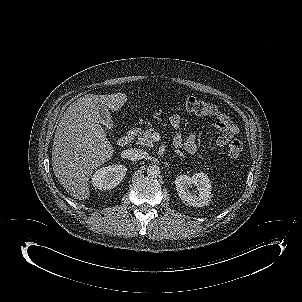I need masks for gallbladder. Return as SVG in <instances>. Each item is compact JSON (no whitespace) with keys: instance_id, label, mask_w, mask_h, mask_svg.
Listing matches in <instances>:
<instances>
[{"instance_id":"bac80fb5","label":"gallbladder","mask_w":302,"mask_h":302,"mask_svg":"<svg viewBox=\"0 0 302 302\" xmlns=\"http://www.w3.org/2000/svg\"><path fill=\"white\" fill-rule=\"evenodd\" d=\"M100 116H101V123L106 127V129H112V120L110 118V113L107 108L100 107Z\"/></svg>"}]
</instances>
